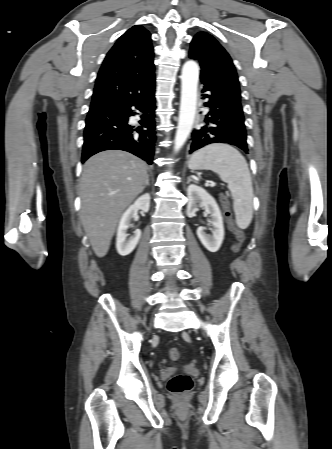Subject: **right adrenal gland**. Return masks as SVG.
I'll use <instances>...</instances> for the list:
<instances>
[{"label":"right adrenal gland","mask_w":332,"mask_h":449,"mask_svg":"<svg viewBox=\"0 0 332 449\" xmlns=\"http://www.w3.org/2000/svg\"><path fill=\"white\" fill-rule=\"evenodd\" d=\"M146 186H149V175H147V181H146V184H145L144 188H145Z\"/></svg>","instance_id":"obj_1"}]
</instances>
